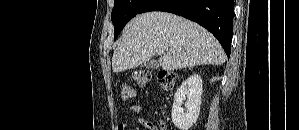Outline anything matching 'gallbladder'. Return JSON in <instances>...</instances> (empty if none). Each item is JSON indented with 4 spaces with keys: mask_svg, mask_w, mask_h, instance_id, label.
Returning a JSON list of instances; mask_svg holds the SVG:
<instances>
[{
    "mask_svg": "<svg viewBox=\"0 0 299 130\" xmlns=\"http://www.w3.org/2000/svg\"><path fill=\"white\" fill-rule=\"evenodd\" d=\"M143 66L147 69H157L159 68V63L156 60H149L144 62Z\"/></svg>",
    "mask_w": 299,
    "mask_h": 130,
    "instance_id": "bac80fb5",
    "label": "gallbladder"
}]
</instances>
